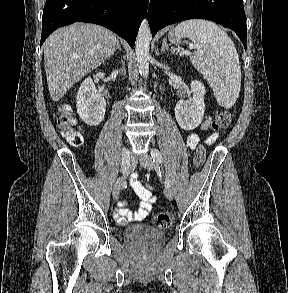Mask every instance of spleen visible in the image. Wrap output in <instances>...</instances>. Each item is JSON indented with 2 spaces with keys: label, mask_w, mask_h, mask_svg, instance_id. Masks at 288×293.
Returning a JSON list of instances; mask_svg holds the SVG:
<instances>
[{
  "label": "spleen",
  "mask_w": 288,
  "mask_h": 293,
  "mask_svg": "<svg viewBox=\"0 0 288 293\" xmlns=\"http://www.w3.org/2000/svg\"><path fill=\"white\" fill-rule=\"evenodd\" d=\"M175 35L195 43L192 64L212 87L217 102L232 107L240 92L241 66L231 38L215 23L202 19L179 23Z\"/></svg>",
  "instance_id": "spleen-1"
}]
</instances>
